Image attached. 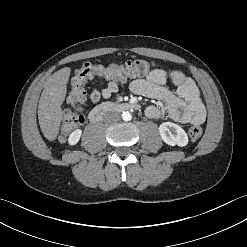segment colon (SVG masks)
I'll return each instance as SVG.
<instances>
[{"instance_id":"5ec220e1","label":"colon","mask_w":247,"mask_h":247,"mask_svg":"<svg viewBox=\"0 0 247 247\" xmlns=\"http://www.w3.org/2000/svg\"><path fill=\"white\" fill-rule=\"evenodd\" d=\"M153 63L145 59H134L124 64H111L108 66L96 65L91 63L84 64L74 72L72 78V98L74 101V112L67 114L61 127V137L65 139L69 133L84 120L83 105L86 100L85 83L95 76H105L111 80H126L147 74ZM200 126H192L189 129V137L198 140L202 136Z\"/></svg>"}]
</instances>
